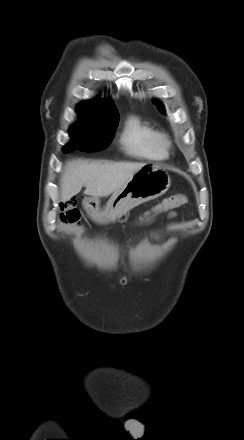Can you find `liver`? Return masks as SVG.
<instances>
[{
    "label": "liver",
    "mask_w": 244,
    "mask_h": 440,
    "mask_svg": "<svg viewBox=\"0 0 244 440\" xmlns=\"http://www.w3.org/2000/svg\"><path fill=\"white\" fill-rule=\"evenodd\" d=\"M144 163L88 162L72 160L66 164L61 179V199L66 201L77 195L83 186L85 194L92 197H108L122 188Z\"/></svg>",
    "instance_id": "liver-1"
}]
</instances>
